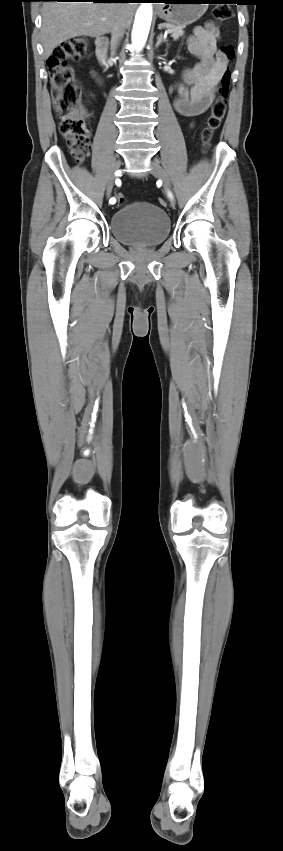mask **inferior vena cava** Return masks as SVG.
I'll list each match as a JSON object with an SVG mask.
<instances>
[{"label": "inferior vena cava", "mask_w": 283, "mask_h": 851, "mask_svg": "<svg viewBox=\"0 0 283 851\" xmlns=\"http://www.w3.org/2000/svg\"><path fill=\"white\" fill-rule=\"evenodd\" d=\"M124 33H125V26H124L123 20L121 19L120 21H118L117 23L114 24V26L111 30V50H112V54L115 53V50L117 49L121 39L123 38Z\"/></svg>", "instance_id": "602c4592"}]
</instances>
